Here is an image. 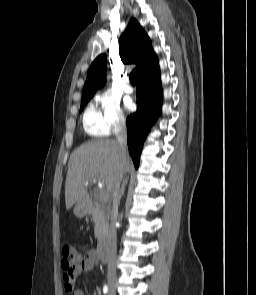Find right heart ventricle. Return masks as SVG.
I'll use <instances>...</instances> for the list:
<instances>
[{
	"instance_id": "e07e8e85",
	"label": "right heart ventricle",
	"mask_w": 256,
	"mask_h": 295,
	"mask_svg": "<svg viewBox=\"0 0 256 295\" xmlns=\"http://www.w3.org/2000/svg\"><path fill=\"white\" fill-rule=\"evenodd\" d=\"M83 128L90 136L100 137L107 134L102 123L100 112L93 104L88 105L84 112Z\"/></svg>"
}]
</instances>
